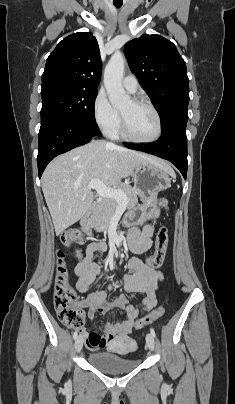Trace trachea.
<instances>
[{
	"instance_id": "1",
	"label": "trachea",
	"mask_w": 235,
	"mask_h": 404,
	"mask_svg": "<svg viewBox=\"0 0 235 404\" xmlns=\"http://www.w3.org/2000/svg\"><path fill=\"white\" fill-rule=\"evenodd\" d=\"M115 6H116L117 8H120V7L122 6V4H115Z\"/></svg>"
}]
</instances>
